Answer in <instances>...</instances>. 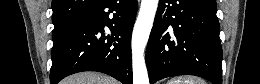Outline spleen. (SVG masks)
Returning <instances> with one entry per match:
<instances>
[{"mask_svg": "<svg viewBox=\"0 0 260 84\" xmlns=\"http://www.w3.org/2000/svg\"><path fill=\"white\" fill-rule=\"evenodd\" d=\"M167 84H206L200 77L186 76L170 79Z\"/></svg>", "mask_w": 260, "mask_h": 84, "instance_id": "1", "label": "spleen"}]
</instances>
